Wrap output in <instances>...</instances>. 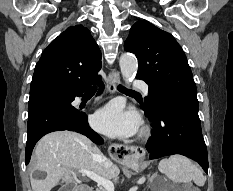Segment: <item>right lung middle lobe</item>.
Segmentation results:
<instances>
[{
	"label": "right lung middle lobe",
	"mask_w": 233,
	"mask_h": 191,
	"mask_svg": "<svg viewBox=\"0 0 233 191\" xmlns=\"http://www.w3.org/2000/svg\"><path fill=\"white\" fill-rule=\"evenodd\" d=\"M38 98H43L45 100H50L62 104L70 109H75L71 105V98L68 97L66 94L58 92V91H44ZM35 103L34 100H29V108Z\"/></svg>",
	"instance_id": "right-lung-middle-lobe-1"
}]
</instances>
